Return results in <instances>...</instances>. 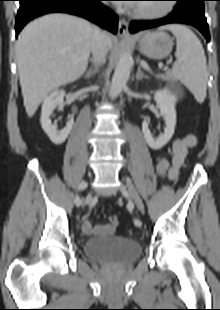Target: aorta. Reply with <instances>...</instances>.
<instances>
[{"label":"aorta","instance_id":"aorta-1","mask_svg":"<svg viewBox=\"0 0 220 310\" xmlns=\"http://www.w3.org/2000/svg\"><path fill=\"white\" fill-rule=\"evenodd\" d=\"M132 68V58L128 52L121 54L110 86V97L115 99L126 86Z\"/></svg>","mask_w":220,"mask_h":310}]
</instances>
